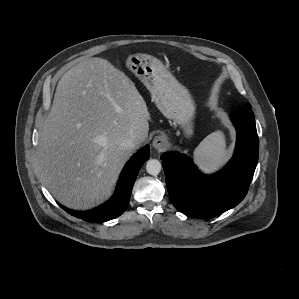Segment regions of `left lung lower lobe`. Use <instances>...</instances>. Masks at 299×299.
Instances as JSON below:
<instances>
[{
  "instance_id": "1",
  "label": "left lung lower lobe",
  "mask_w": 299,
  "mask_h": 299,
  "mask_svg": "<svg viewBox=\"0 0 299 299\" xmlns=\"http://www.w3.org/2000/svg\"><path fill=\"white\" fill-rule=\"evenodd\" d=\"M230 117L237 131L235 152L216 174H201L190 158L178 152L161 156L170 199L180 212L213 217L235 207L247 194L258 161L254 114L232 111Z\"/></svg>"
}]
</instances>
